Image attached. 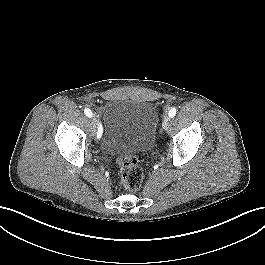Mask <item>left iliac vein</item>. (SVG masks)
<instances>
[{"label": "left iliac vein", "instance_id": "left-iliac-vein-1", "mask_svg": "<svg viewBox=\"0 0 265 265\" xmlns=\"http://www.w3.org/2000/svg\"><path fill=\"white\" fill-rule=\"evenodd\" d=\"M169 124H170V117L168 115H165L163 118V123H162L163 128L167 130L169 127Z\"/></svg>", "mask_w": 265, "mask_h": 265}]
</instances>
